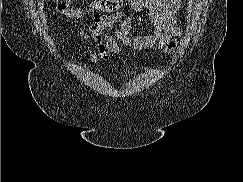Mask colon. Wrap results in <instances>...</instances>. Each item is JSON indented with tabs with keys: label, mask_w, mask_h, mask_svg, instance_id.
Returning a JSON list of instances; mask_svg holds the SVG:
<instances>
[{
	"label": "colon",
	"mask_w": 243,
	"mask_h": 182,
	"mask_svg": "<svg viewBox=\"0 0 243 182\" xmlns=\"http://www.w3.org/2000/svg\"><path fill=\"white\" fill-rule=\"evenodd\" d=\"M54 2L57 11L70 18H79L85 13L111 14L117 12L123 5V0H92L81 10L72 6V0H54Z\"/></svg>",
	"instance_id": "colon-1"
}]
</instances>
